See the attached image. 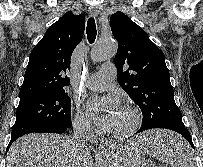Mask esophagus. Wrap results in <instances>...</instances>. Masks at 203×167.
Listing matches in <instances>:
<instances>
[{
    "instance_id": "34e87169",
    "label": "esophagus",
    "mask_w": 203,
    "mask_h": 167,
    "mask_svg": "<svg viewBox=\"0 0 203 167\" xmlns=\"http://www.w3.org/2000/svg\"><path fill=\"white\" fill-rule=\"evenodd\" d=\"M89 14L96 17L99 14V9L96 6L89 7ZM111 144L107 141H101L98 145V151L101 153H106L110 150Z\"/></svg>"
}]
</instances>
